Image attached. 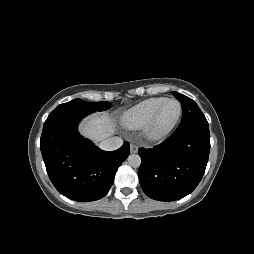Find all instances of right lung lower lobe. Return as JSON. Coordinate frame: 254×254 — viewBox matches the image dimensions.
<instances>
[{"instance_id": "1", "label": "right lung lower lobe", "mask_w": 254, "mask_h": 254, "mask_svg": "<svg viewBox=\"0 0 254 254\" xmlns=\"http://www.w3.org/2000/svg\"><path fill=\"white\" fill-rule=\"evenodd\" d=\"M92 112L56 107L44 123L40 148L49 178L65 197L89 202L104 197L116 171L130 153L128 142L115 151H103L77 131L80 120Z\"/></svg>"}]
</instances>
